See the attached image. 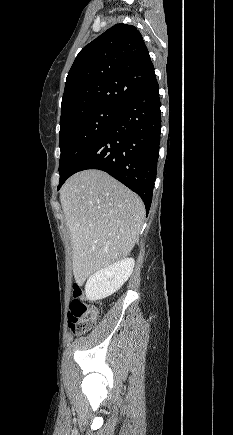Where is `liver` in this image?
Wrapping results in <instances>:
<instances>
[{"label":"liver","instance_id":"obj_1","mask_svg":"<svg viewBox=\"0 0 233 435\" xmlns=\"http://www.w3.org/2000/svg\"><path fill=\"white\" fill-rule=\"evenodd\" d=\"M60 202L71 234L78 283L129 255L145 214L137 194L106 172L84 170L65 182Z\"/></svg>","mask_w":233,"mask_h":435}]
</instances>
